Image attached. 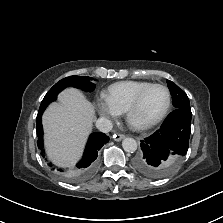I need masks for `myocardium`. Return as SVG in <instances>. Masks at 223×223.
Returning a JSON list of instances; mask_svg holds the SVG:
<instances>
[{"label":"myocardium","mask_w":223,"mask_h":223,"mask_svg":"<svg viewBox=\"0 0 223 223\" xmlns=\"http://www.w3.org/2000/svg\"><path fill=\"white\" fill-rule=\"evenodd\" d=\"M155 87H160V88L164 89L166 94H167V103H166V106H165L164 110L162 111V113L156 119H154L150 122L142 123V124L133 123L132 120H131L132 114L138 108V106L140 105L144 96L151 89H153ZM170 107H171V93H170L169 89L163 84L154 83V84H151L148 87L144 88L142 91H140L138 93V95L134 98V100L130 103V105L125 110V118H126V121L128 122V124L132 128H134L136 130H139V131H144V130H148V129L154 127L155 125H157L158 123H160L166 117Z\"/></svg>","instance_id":"f54148a6"}]
</instances>
